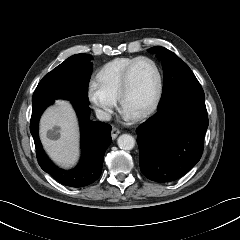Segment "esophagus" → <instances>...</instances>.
I'll return each instance as SVG.
<instances>
[{
	"label": "esophagus",
	"mask_w": 240,
	"mask_h": 240,
	"mask_svg": "<svg viewBox=\"0 0 240 240\" xmlns=\"http://www.w3.org/2000/svg\"><path fill=\"white\" fill-rule=\"evenodd\" d=\"M120 134V130L116 127H112L111 129V137L112 139H115Z\"/></svg>",
	"instance_id": "34e87169"
}]
</instances>
